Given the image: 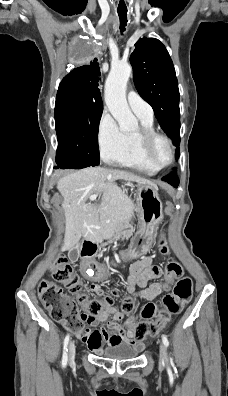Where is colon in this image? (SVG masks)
I'll list each match as a JSON object with an SVG mask.
<instances>
[{
    "label": "colon",
    "instance_id": "5ec220e1",
    "mask_svg": "<svg viewBox=\"0 0 228 396\" xmlns=\"http://www.w3.org/2000/svg\"><path fill=\"white\" fill-rule=\"evenodd\" d=\"M161 252L166 253L167 247L161 240ZM53 279L63 285L75 298L65 294L63 289L50 281H43L38 287L41 303L50 317L62 324L66 329L75 333L84 329V323L94 324L99 317L113 303V295L103 298L90 297L84 290L83 284L66 257L59 255L51 266ZM183 268L177 262H171L166 267L165 282L176 283L172 293L166 295L160 305L147 304L139 321L132 323L138 340L155 336L167 324L173 315L182 311L190 301L193 284L190 278L183 277ZM135 301L127 297L123 301L122 311L130 312L134 309ZM157 317L156 320H152Z\"/></svg>",
    "mask_w": 228,
    "mask_h": 396
}]
</instances>
